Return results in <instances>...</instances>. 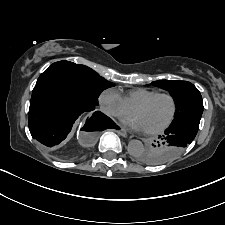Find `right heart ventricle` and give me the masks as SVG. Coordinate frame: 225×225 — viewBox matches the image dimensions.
<instances>
[{
  "label": "right heart ventricle",
  "instance_id": "right-heart-ventricle-1",
  "mask_svg": "<svg viewBox=\"0 0 225 225\" xmlns=\"http://www.w3.org/2000/svg\"><path fill=\"white\" fill-rule=\"evenodd\" d=\"M158 91L147 88H137L127 92L122 98L129 108H133L138 103L144 101Z\"/></svg>",
  "mask_w": 225,
  "mask_h": 225
}]
</instances>
